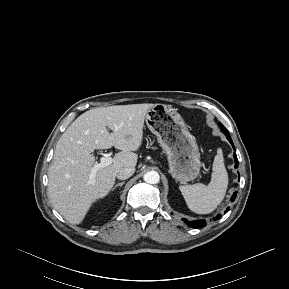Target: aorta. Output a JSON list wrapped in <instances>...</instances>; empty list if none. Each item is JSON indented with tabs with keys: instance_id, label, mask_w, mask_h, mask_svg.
Here are the masks:
<instances>
[{
	"instance_id": "1",
	"label": "aorta",
	"mask_w": 289,
	"mask_h": 289,
	"mask_svg": "<svg viewBox=\"0 0 289 289\" xmlns=\"http://www.w3.org/2000/svg\"><path fill=\"white\" fill-rule=\"evenodd\" d=\"M144 181L149 184H157L160 181V176L156 171H149L144 174Z\"/></svg>"
}]
</instances>
